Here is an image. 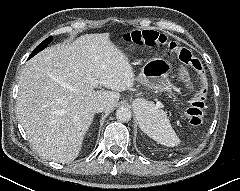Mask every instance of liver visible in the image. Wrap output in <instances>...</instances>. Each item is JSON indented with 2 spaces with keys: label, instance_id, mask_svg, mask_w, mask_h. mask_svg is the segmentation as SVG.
Returning a JSON list of instances; mask_svg holds the SVG:
<instances>
[{
  "label": "liver",
  "instance_id": "obj_1",
  "mask_svg": "<svg viewBox=\"0 0 240 191\" xmlns=\"http://www.w3.org/2000/svg\"><path fill=\"white\" fill-rule=\"evenodd\" d=\"M92 81L110 90H94ZM134 81L128 58L109 33L82 35L68 45L47 47L25 64L16 114L39 154L69 163L81 150L93 106L105 103L112 110Z\"/></svg>",
  "mask_w": 240,
  "mask_h": 191
}]
</instances>
